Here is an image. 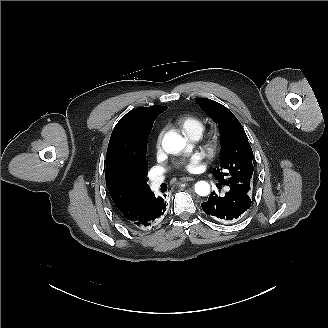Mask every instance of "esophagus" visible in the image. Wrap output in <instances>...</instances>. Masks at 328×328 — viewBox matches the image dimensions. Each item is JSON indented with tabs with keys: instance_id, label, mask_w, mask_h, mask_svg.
Instances as JSON below:
<instances>
[{
	"instance_id": "esophagus-1",
	"label": "esophagus",
	"mask_w": 328,
	"mask_h": 328,
	"mask_svg": "<svg viewBox=\"0 0 328 328\" xmlns=\"http://www.w3.org/2000/svg\"><path fill=\"white\" fill-rule=\"evenodd\" d=\"M179 180H180V181H183V182L194 181V179L191 178V177H181Z\"/></svg>"
}]
</instances>
